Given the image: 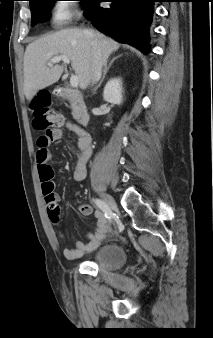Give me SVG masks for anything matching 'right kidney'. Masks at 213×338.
<instances>
[{"instance_id":"1","label":"right kidney","mask_w":213,"mask_h":338,"mask_svg":"<svg viewBox=\"0 0 213 338\" xmlns=\"http://www.w3.org/2000/svg\"><path fill=\"white\" fill-rule=\"evenodd\" d=\"M123 88L122 81L120 78L110 79L103 91V99L112 104L120 105L123 102Z\"/></svg>"}]
</instances>
